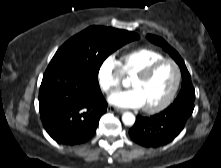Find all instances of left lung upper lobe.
<instances>
[{"mask_svg":"<svg viewBox=\"0 0 221 168\" xmlns=\"http://www.w3.org/2000/svg\"><path fill=\"white\" fill-rule=\"evenodd\" d=\"M147 38L152 43L162 46L163 50L168 52L170 54V56L179 65V67L181 69V73H182V87H181V91L178 96L195 95V91H194L193 85L191 83L190 74L185 66L183 59L180 57V55L177 53V51L174 50L170 45H168V43L164 39H162L158 36L148 34Z\"/></svg>","mask_w":221,"mask_h":168,"instance_id":"left-lung-upper-lobe-1","label":"left lung upper lobe"}]
</instances>
